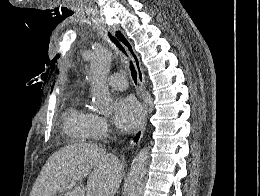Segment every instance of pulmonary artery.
Segmentation results:
<instances>
[{
    "label": "pulmonary artery",
    "mask_w": 260,
    "mask_h": 196,
    "mask_svg": "<svg viewBox=\"0 0 260 196\" xmlns=\"http://www.w3.org/2000/svg\"><path fill=\"white\" fill-rule=\"evenodd\" d=\"M124 72H113V79H102V84H125ZM105 90H128V85H105Z\"/></svg>",
    "instance_id": "pulmonary-artery-1"
}]
</instances>
